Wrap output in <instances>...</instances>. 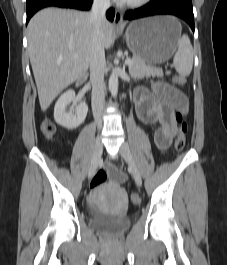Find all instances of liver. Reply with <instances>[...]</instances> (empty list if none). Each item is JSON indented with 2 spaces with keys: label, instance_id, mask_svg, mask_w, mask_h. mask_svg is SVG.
<instances>
[{
  "label": "liver",
  "instance_id": "liver-1",
  "mask_svg": "<svg viewBox=\"0 0 227 265\" xmlns=\"http://www.w3.org/2000/svg\"><path fill=\"white\" fill-rule=\"evenodd\" d=\"M101 31L108 49L114 38L113 25L105 20ZM27 32L39 103L45 111L65 88L87 72L93 23L88 12L46 8L31 18Z\"/></svg>",
  "mask_w": 227,
  "mask_h": 265
}]
</instances>
